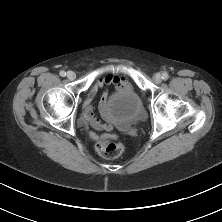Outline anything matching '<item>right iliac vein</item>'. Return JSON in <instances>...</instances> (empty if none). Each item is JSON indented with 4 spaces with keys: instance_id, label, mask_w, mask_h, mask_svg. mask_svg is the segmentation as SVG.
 I'll return each instance as SVG.
<instances>
[{
    "instance_id": "63e3f726",
    "label": "right iliac vein",
    "mask_w": 222,
    "mask_h": 222,
    "mask_svg": "<svg viewBox=\"0 0 222 222\" xmlns=\"http://www.w3.org/2000/svg\"><path fill=\"white\" fill-rule=\"evenodd\" d=\"M67 78H68L69 80H74V79L76 78L75 72H73V71H68V72H67Z\"/></svg>"
}]
</instances>
